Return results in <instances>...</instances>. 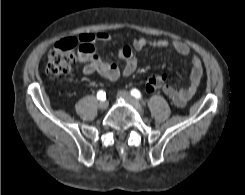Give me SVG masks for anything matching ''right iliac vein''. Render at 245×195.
Returning a JSON list of instances; mask_svg holds the SVG:
<instances>
[{"mask_svg":"<svg viewBox=\"0 0 245 195\" xmlns=\"http://www.w3.org/2000/svg\"><path fill=\"white\" fill-rule=\"evenodd\" d=\"M107 107H108V102L106 100H102L99 102V108L101 110H105V109H107Z\"/></svg>","mask_w":245,"mask_h":195,"instance_id":"obj_1","label":"right iliac vein"}]
</instances>
